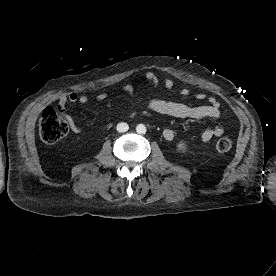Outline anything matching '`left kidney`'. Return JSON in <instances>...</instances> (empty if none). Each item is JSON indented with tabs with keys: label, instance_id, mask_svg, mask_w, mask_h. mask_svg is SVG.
I'll use <instances>...</instances> for the list:
<instances>
[{
	"label": "left kidney",
	"instance_id": "5707ae66",
	"mask_svg": "<svg viewBox=\"0 0 276 276\" xmlns=\"http://www.w3.org/2000/svg\"><path fill=\"white\" fill-rule=\"evenodd\" d=\"M178 147H179L180 149H183V150L186 149V145H185V143H183V142H179Z\"/></svg>",
	"mask_w": 276,
	"mask_h": 276
}]
</instances>
